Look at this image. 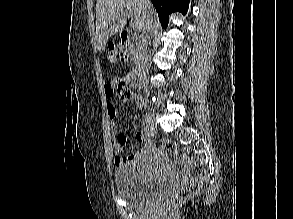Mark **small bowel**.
Here are the masks:
<instances>
[{
    "instance_id": "1",
    "label": "small bowel",
    "mask_w": 293,
    "mask_h": 219,
    "mask_svg": "<svg viewBox=\"0 0 293 219\" xmlns=\"http://www.w3.org/2000/svg\"><path fill=\"white\" fill-rule=\"evenodd\" d=\"M104 92L107 97V111L111 119L113 134H114V147L118 153H121L126 145L128 144L129 138L126 134L118 132V123L116 118V108L112 101V96L114 94L113 86L110 82H107L104 86ZM129 99L137 104L139 108L143 107L142 97L135 93L131 92ZM135 140L138 142H143L144 145L137 150L136 152L127 154V155H117L115 158V165L121 167L123 165L132 164L138 161V159L148 150L149 142L143 132H137L135 134Z\"/></svg>"
}]
</instances>
